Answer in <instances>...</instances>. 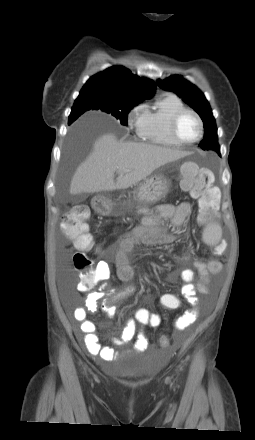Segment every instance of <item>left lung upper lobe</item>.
I'll return each mask as SVG.
<instances>
[{
	"mask_svg": "<svg viewBox=\"0 0 255 440\" xmlns=\"http://www.w3.org/2000/svg\"><path fill=\"white\" fill-rule=\"evenodd\" d=\"M156 83L160 88L178 94L199 114L204 123V138L199 146L203 150H215L220 155L215 119L204 94L195 85L179 75L170 76L165 80L158 79Z\"/></svg>",
	"mask_w": 255,
	"mask_h": 440,
	"instance_id": "left-lung-upper-lobe-1",
	"label": "left lung upper lobe"
}]
</instances>
